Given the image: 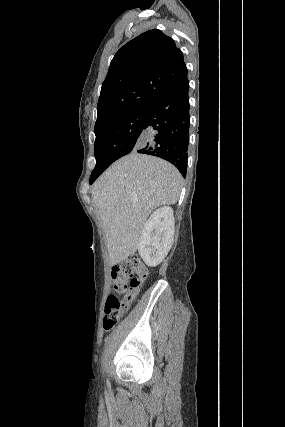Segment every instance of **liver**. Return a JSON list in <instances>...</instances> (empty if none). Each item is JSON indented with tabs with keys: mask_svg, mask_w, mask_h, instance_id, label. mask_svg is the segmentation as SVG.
I'll use <instances>...</instances> for the list:
<instances>
[{
	"mask_svg": "<svg viewBox=\"0 0 285 427\" xmlns=\"http://www.w3.org/2000/svg\"><path fill=\"white\" fill-rule=\"evenodd\" d=\"M182 182L172 164L137 152L117 160L99 177L92 198L102 221L111 265L136 252L149 214L159 206L175 204Z\"/></svg>",
	"mask_w": 285,
	"mask_h": 427,
	"instance_id": "obj_1",
	"label": "liver"
}]
</instances>
